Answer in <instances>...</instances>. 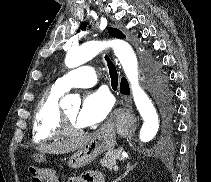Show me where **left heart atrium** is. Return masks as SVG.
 <instances>
[{"label": "left heart atrium", "instance_id": "1", "mask_svg": "<svg viewBox=\"0 0 211 182\" xmlns=\"http://www.w3.org/2000/svg\"><path fill=\"white\" fill-rule=\"evenodd\" d=\"M111 105V97L107 91L99 89L87 93L77 114V123L81 127L98 124L108 115Z\"/></svg>", "mask_w": 211, "mask_h": 182}]
</instances>
